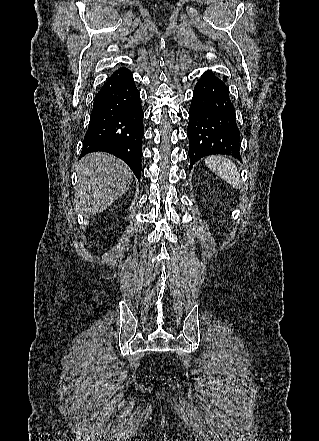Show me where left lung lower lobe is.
Segmentation results:
<instances>
[{"label": "left lung lower lobe", "instance_id": "0a47b994", "mask_svg": "<svg viewBox=\"0 0 319 441\" xmlns=\"http://www.w3.org/2000/svg\"><path fill=\"white\" fill-rule=\"evenodd\" d=\"M187 136L190 169L212 154L240 159V132L229 89L213 72L205 73L194 88Z\"/></svg>", "mask_w": 319, "mask_h": 441}]
</instances>
